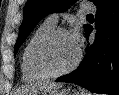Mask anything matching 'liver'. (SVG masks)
I'll return each mask as SVG.
<instances>
[{
  "label": "liver",
  "instance_id": "6515ba94",
  "mask_svg": "<svg viewBox=\"0 0 119 95\" xmlns=\"http://www.w3.org/2000/svg\"><path fill=\"white\" fill-rule=\"evenodd\" d=\"M62 87V84H55V83H38L31 87H24L22 88V92L20 94L27 95L28 93H35L37 91H48V90H54Z\"/></svg>",
  "mask_w": 119,
  "mask_h": 95
}]
</instances>
